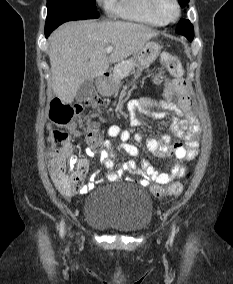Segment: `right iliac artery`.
<instances>
[{
	"mask_svg": "<svg viewBox=\"0 0 233 284\" xmlns=\"http://www.w3.org/2000/svg\"><path fill=\"white\" fill-rule=\"evenodd\" d=\"M60 234H61V236H63V234H64V223L63 222H61V224H60Z\"/></svg>",
	"mask_w": 233,
	"mask_h": 284,
	"instance_id": "1",
	"label": "right iliac artery"
}]
</instances>
